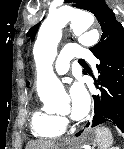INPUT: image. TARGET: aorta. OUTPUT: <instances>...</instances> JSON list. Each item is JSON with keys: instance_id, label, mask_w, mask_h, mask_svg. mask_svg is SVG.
<instances>
[{"instance_id": "762f6f07", "label": "aorta", "mask_w": 124, "mask_h": 149, "mask_svg": "<svg viewBox=\"0 0 124 149\" xmlns=\"http://www.w3.org/2000/svg\"><path fill=\"white\" fill-rule=\"evenodd\" d=\"M67 24L79 36V41L84 46H92L99 40V32L96 29L89 30L94 24V17L84 11L61 8L49 13L42 23L34 45V58L38 69L37 93L45 106L55 109L60 106L65 90L52 71V63L56 57L62 29Z\"/></svg>"}]
</instances>
